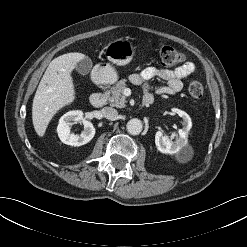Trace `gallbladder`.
<instances>
[{
    "mask_svg": "<svg viewBox=\"0 0 247 247\" xmlns=\"http://www.w3.org/2000/svg\"><path fill=\"white\" fill-rule=\"evenodd\" d=\"M92 68V60L88 57L80 60L76 65V71L81 75H86Z\"/></svg>",
    "mask_w": 247,
    "mask_h": 247,
    "instance_id": "1",
    "label": "gallbladder"
}]
</instances>
